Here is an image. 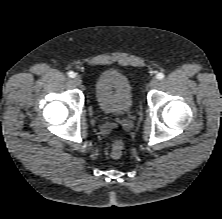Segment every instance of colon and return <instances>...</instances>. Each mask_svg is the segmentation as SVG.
I'll return each mask as SVG.
<instances>
[{
	"mask_svg": "<svg viewBox=\"0 0 222 219\" xmlns=\"http://www.w3.org/2000/svg\"><path fill=\"white\" fill-rule=\"evenodd\" d=\"M124 144L121 140H115L112 142L110 147V156L114 159L121 157L123 152Z\"/></svg>",
	"mask_w": 222,
	"mask_h": 219,
	"instance_id": "5ec220e1",
	"label": "colon"
}]
</instances>
